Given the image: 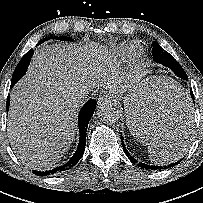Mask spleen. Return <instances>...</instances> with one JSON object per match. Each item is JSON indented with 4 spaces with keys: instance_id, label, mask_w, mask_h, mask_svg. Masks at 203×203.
<instances>
[{
    "instance_id": "1",
    "label": "spleen",
    "mask_w": 203,
    "mask_h": 203,
    "mask_svg": "<svg viewBox=\"0 0 203 203\" xmlns=\"http://www.w3.org/2000/svg\"><path fill=\"white\" fill-rule=\"evenodd\" d=\"M143 100H146V103H149L151 108L157 109V115H155L152 122L153 124H148V122L142 121V118H138L134 115L133 120L128 121L130 131L139 141L147 145L149 159L155 164L166 165L177 161L188 150L190 143L189 136H186L187 140L184 141V145L174 143L171 139L164 143L156 144L149 138H145L142 131H140L139 124H142L144 127H151L153 131L157 128L155 121L158 119L159 115L163 113L182 112V109H187L191 112V103L188 94L173 80L167 78L158 79L150 84V88L145 90L141 104H144ZM187 134L190 135V132Z\"/></svg>"
}]
</instances>
